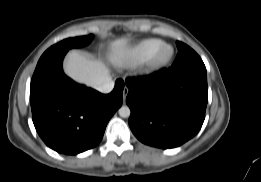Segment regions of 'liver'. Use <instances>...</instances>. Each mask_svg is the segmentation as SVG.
<instances>
[{"instance_id": "liver-1", "label": "liver", "mask_w": 261, "mask_h": 182, "mask_svg": "<svg viewBox=\"0 0 261 182\" xmlns=\"http://www.w3.org/2000/svg\"><path fill=\"white\" fill-rule=\"evenodd\" d=\"M128 39L118 38L110 45L109 60L114 66H121L127 57ZM65 73L76 82L95 87L110 78V70L101 61L93 60L87 56L71 51L64 63Z\"/></svg>"}]
</instances>
